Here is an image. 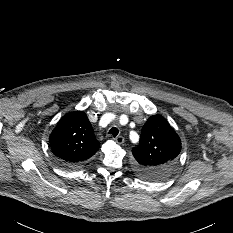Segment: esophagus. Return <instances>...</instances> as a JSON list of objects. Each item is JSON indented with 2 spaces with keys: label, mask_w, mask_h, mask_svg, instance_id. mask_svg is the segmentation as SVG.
I'll list each match as a JSON object with an SVG mask.
<instances>
[{
  "label": "esophagus",
  "mask_w": 233,
  "mask_h": 233,
  "mask_svg": "<svg viewBox=\"0 0 233 233\" xmlns=\"http://www.w3.org/2000/svg\"><path fill=\"white\" fill-rule=\"evenodd\" d=\"M114 140L116 141V143H118L120 145L124 142L123 136H117L114 138Z\"/></svg>",
  "instance_id": "esophagus-1"
}]
</instances>
